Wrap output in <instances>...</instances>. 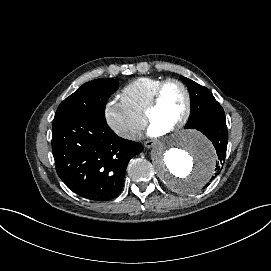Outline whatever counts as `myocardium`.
I'll list each match as a JSON object with an SVG mask.
<instances>
[{"label":"myocardium","instance_id":"myocardium-1","mask_svg":"<svg viewBox=\"0 0 271 271\" xmlns=\"http://www.w3.org/2000/svg\"><path fill=\"white\" fill-rule=\"evenodd\" d=\"M169 83H176L182 87L187 98V108L185 114L175 123V125L168 131L172 133L183 128L191 119L193 113V96L189 86L181 79L176 77H169L163 79L154 89L150 103L146 109L145 118L148 123H151V115L158 109L160 104V97L164 87Z\"/></svg>","mask_w":271,"mask_h":271}]
</instances>
